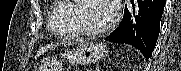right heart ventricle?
I'll use <instances>...</instances> for the list:
<instances>
[{
    "label": "right heart ventricle",
    "instance_id": "e07e8e85",
    "mask_svg": "<svg viewBox=\"0 0 181 71\" xmlns=\"http://www.w3.org/2000/svg\"><path fill=\"white\" fill-rule=\"evenodd\" d=\"M71 1H55L50 8L48 25L50 30L57 36L65 38H77L79 33L72 23Z\"/></svg>",
    "mask_w": 181,
    "mask_h": 71
}]
</instances>
